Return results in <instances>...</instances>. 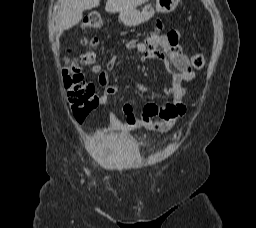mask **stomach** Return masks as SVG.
I'll list each match as a JSON object with an SVG mask.
<instances>
[{
    "label": "stomach",
    "mask_w": 256,
    "mask_h": 228,
    "mask_svg": "<svg viewBox=\"0 0 256 228\" xmlns=\"http://www.w3.org/2000/svg\"><path fill=\"white\" fill-rule=\"evenodd\" d=\"M180 0H156V11L170 13L177 7ZM155 14L152 5H145L140 11L135 7L119 11L120 21L127 27H134L151 19Z\"/></svg>",
    "instance_id": "1"
}]
</instances>
